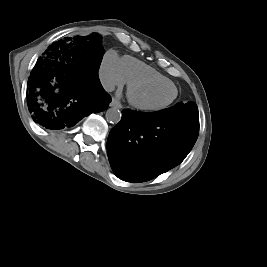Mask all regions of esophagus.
<instances>
[{
    "label": "esophagus",
    "instance_id": "obj_1",
    "mask_svg": "<svg viewBox=\"0 0 267 267\" xmlns=\"http://www.w3.org/2000/svg\"><path fill=\"white\" fill-rule=\"evenodd\" d=\"M110 106L111 107L120 108V109L123 107L122 104L117 99H115V98H112V101L110 103Z\"/></svg>",
    "mask_w": 267,
    "mask_h": 267
}]
</instances>
